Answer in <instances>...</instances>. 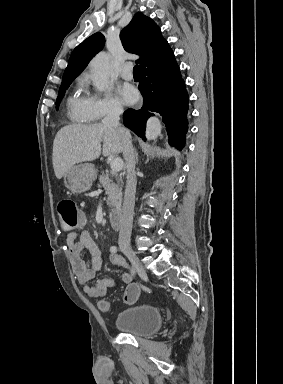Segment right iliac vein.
I'll list each match as a JSON object with an SVG mask.
<instances>
[{"mask_svg": "<svg viewBox=\"0 0 283 384\" xmlns=\"http://www.w3.org/2000/svg\"><path fill=\"white\" fill-rule=\"evenodd\" d=\"M122 251L125 254V256L130 260V262L132 263V265L134 266V268L138 272L139 276L142 279L146 280L147 279L146 270H145L144 266L142 265V263L140 262L137 255L135 254V252L132 250V248L124 246V247H122Z\"/></svg>", "mask_w": 283, "mask_h": 384, "instance_id": "right-iliac-vein-1", "label": "right iliac vein"}]
</instances>
